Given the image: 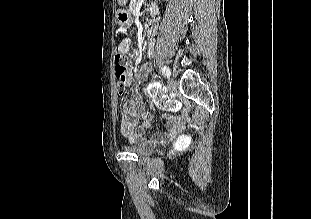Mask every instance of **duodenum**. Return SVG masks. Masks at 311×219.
Masks as SVG:
<instances>
[{"label":"duodenum","mask_w":311,"mask_h":219,"mask_svg":"<svg viewBox=\"0 0 311 219\" xmlns=\"http://www.w3.org/2000/svg\"><path fill=\"white\" fill-rule=\"evenodd\" d=\"M155 29H156L155 23L151 22V23L148 24V31H149L151 34L154 33Z\"/></svg>","instance_id":"obj_1"}]
</instances>
